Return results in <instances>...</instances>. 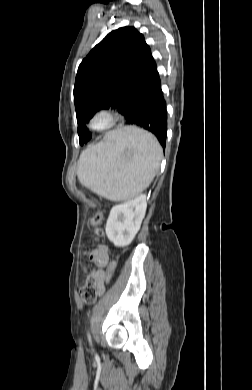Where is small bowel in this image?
Wrapping results in <instances>:
<instances>
[{"mask_svg":"<svg viewBox=\"0 0 252 390\" xmlns=\"http://www.w3.org/2000/svg\"><path fill=\"white\" fill-rule=\"evenodd\" d=\"M92 223H93V221H92ZM89 257L92 261L95 262V264L98 267V269L96 271V278L98 280L97 294H98V296H102L104 291H105V284H107L110 281L111 272H112L109 269H108V271L104 270V267H106L109 263L108 250L106 248L102 247L98 250H94V251L90 252Z\"/></svg>","mask_w":252,"mask_h":390,"instance_id":"1","label":"small bowel"}]
</instances>
